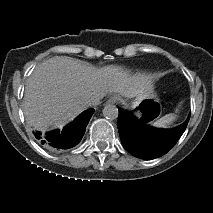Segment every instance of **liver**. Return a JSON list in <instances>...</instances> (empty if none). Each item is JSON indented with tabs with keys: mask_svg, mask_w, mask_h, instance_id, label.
<instances>
[{
	"mask_svg": "<svg viewBox=\"0 0 213 213\" xmlns=\"http://www.w3.org/2000/svg\"><path fill=\"white\" fill-rule=\"evenodd\" d=\"M149 85L125 71L97 70L78 59L56 56L39 65L30 77L25 113L37 128L46 129L73 119L88 107L86 101L92 96L117 92L133 98Z\"/></svg>",
	"mask_w": 213,
	"mask_h": 213,
	"instance_id": "liver-1",
	"label": "liver"
}]
</instances>
